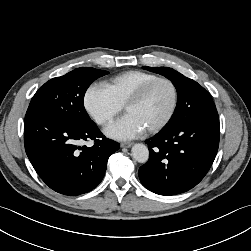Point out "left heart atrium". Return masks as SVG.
I'll list each match as a JSON object with an SVG mask.
<instances>
[{"instance_id": "1", "label": "left heart atrium", "mask_w": 251, "mask_h": 251, "mask_svg": "<svg viewBox=\"0 0 251 251\" xmlns=\"http://www.w3.org/2000/svg\"><path fill=\"white\" fill-rule=\"evenodd\" d=\"M144 131L143 126L133 116L126 114L111 125L106 134L117 140H128L140 136Z\"/></svg>"}]
</instances>
